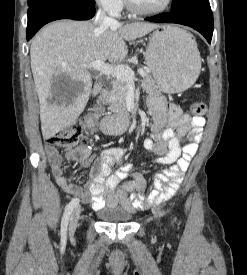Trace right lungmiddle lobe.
<instances>
[{
    "mask_svg": "<svg viewBox=\"0 0 247 275\" xmlns=\"http://www.w3.org/2000/svg\"><path fill=\"white\" fill-rule=\"evenodd\" d=\"M49 1H53V0H28V6H33L36 4L49 2ZM61 1L71 2L79 5H88V6L95 5V0H61Z\"/></svg>",
    "mask_w": 247,
    "mask_h": 275,
    "instance_id": "right-lung-middle-lobe-1",
    "label": "right lung middle lobe"
}]
</instances>
